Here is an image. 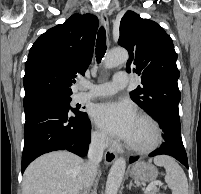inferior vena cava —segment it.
I'll use <instances>...</instances> for the list:
<instances>
[{"label":"inferior vena cava","instance_id":"obj_1","mask_svg":"<svg viewBox=\"0 0 201 194\" xmlns=\"http://www.w3.org/2000/svg\"><path fill=\"white\" fill-rule=\"evenodd\" d=\"M108 139L104 135L92 138L89 150L88 161L85 164V176L83 181V189L89 190L93 184L98 165L103 157L104 149L106 148Z\"/></svg>","mask_w":201,"mask_h":194}]
</instances>
